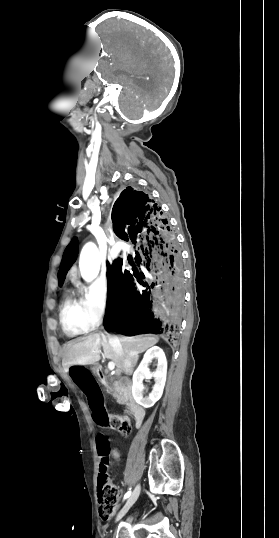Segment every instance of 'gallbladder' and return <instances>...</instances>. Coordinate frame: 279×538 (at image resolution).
<instances>
[{
    "label": "gallbladder",
    "instance_id": "gallbladder-1",
    "mask_svg": "<svg viewBox=\"0 0 279 538\" xmlns=\"http://www.w3.org/2000/svg\"><path fill=\"white\" fill-rule=\"evenodd\" d=\"M117 383H118L119 386L124 387V386L127 385L128 380H127L126 377L121 376V377L118 378Z\"/></svg>",
    "mask_w": 279,
    "mask_h": 538
}]
</instances>
